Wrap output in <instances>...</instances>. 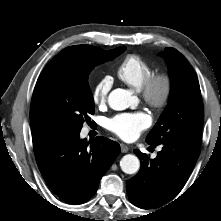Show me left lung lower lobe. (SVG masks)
<instances>
[{"instance_id": "1", "label": "left lung lower lobe", "mask_w": 221, "mask_h": 221, "mask_svg": "<svg viewBox=\"0 0 221 221\" xmlns=\"http://www.w3.org/2000/svg\"><path fill=\"white\" fill-rule=\"evenodd\" d=\"M155 159L139 150L141 161L136 176L127 182L130 201L143 209L158 208L172 200L184 187L199 156L198 146L172 141L162 144Z\"/></svg>"}]
</instances>
